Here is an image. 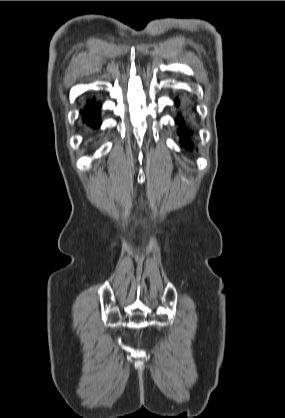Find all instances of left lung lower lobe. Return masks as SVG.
Returning a JSON list of instances; mask_svg holds the SVG:
<instances>
[{
	"mask_svg": "<svg viewBox=\"0 0 285 418\" xmlns=\"http://www.w3.org/2000/svg\"><path fill=\"white\" fill-rule=\"evenodd\" d=\"M180 101L176 100V105H179ZM183 109V104H182ZM176 123L178 124V135L180 136V143L181 146L186 147L188 149H192V142L189 139V135L192 132L189 130L188 122L181 113L178 114L176 118Z\"/></svg>",
	"mask_w": 285,
	"mask_h": 418,
	"instance_id": "0a47b994",
	"label": "left lung lower lobe"
}]
</instances>
